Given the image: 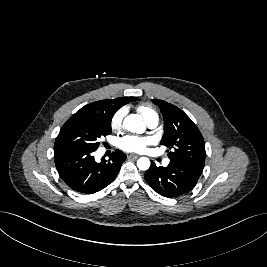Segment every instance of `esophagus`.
I'll use <instances>...</instances> for the list:
<instances>
[{"label": "esophagus", "instance_id": "esophagus-1", "mask_svg": "<svg viewBox=\"0 0 267 267\" xmlns=\"http://www.w3.org/2000/svg\"><path fill=\"white\" fill-rule=\"evenodd\" d=\"M138 155L137 154H130V155H128V159H133V160H136V159H138Z\"/></svg>", "mask_w": 267, "mask_h": 267}]
</instances>
